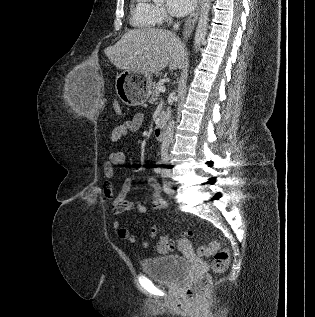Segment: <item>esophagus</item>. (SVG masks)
Segmentation results:
<instances>
[{
  "label": "esophagus",
  "mask_w": 315,
  "mask_h": 317,
  "mask_svg": "<svg viewBox=\"0 0 315 317\" xmlns=\"http://www.w3.org/2000/svg\"><path fill=\"white\" fill-rule=\"evenodd\" d=\"M200 6H201V0L198 1L196 9L187 18V20L185 22L184 30H183V37L184 38H188L191 35V33L194 29V26L196 24V21L198 19V16H199Z\"/></svg>",
  "instance_id": "obj_1"
}]
</instances>
